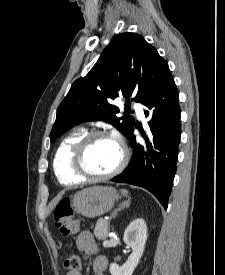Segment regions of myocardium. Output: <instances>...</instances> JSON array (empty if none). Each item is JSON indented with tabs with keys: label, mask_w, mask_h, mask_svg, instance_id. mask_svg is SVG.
Returning a JSON list of instances; mask_svg holds the SVG:
<instances>
[{
	"label": "myocardium",
	"mask_w": 225,
	"mask_h": 275,
	"mask_svg": "<svg viewBox=\"0 0 225 275\" xmlns=\"http://www.w3.org/2000/svg\"><path fill=\"white\" fill-rule=\"evenodd\" d=\"M100 138H111L114 139L121 150V157L118 165L109 173L96 175L92 174L87 170L84 164L85 154L90 147V145L96 140ZM129 159L128 149L125 144L116 137H111L108 134L101 131H92L86 133L75 145L72 156H71V167L77 176L82 178L83 180L89 181H102L115 177L119 173H121L127 165Z\"/></svg>",
	"instance_id": "1"
}]
</instances>
